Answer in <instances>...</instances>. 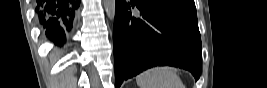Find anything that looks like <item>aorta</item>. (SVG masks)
Segmentation results:
<instances>
[{
  "label": "aorta",
  "instance_id": "obj_1",
  "mask_svg": "<svg viewBox=\"0 0 267 88\" xmlns=\"http://www.w3.org/2000/svg\"><path fill=\"white\" fill-rule=\"evenodd\" d=\"M107 16L113 21L115 18V0H103Z\"/></svg>",
  "mask_w": 267,
  "mask_h": 88
}]
</instances>
